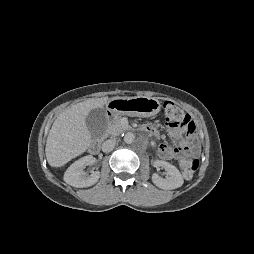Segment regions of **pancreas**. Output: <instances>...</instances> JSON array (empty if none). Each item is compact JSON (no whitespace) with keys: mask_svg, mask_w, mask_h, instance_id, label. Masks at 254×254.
<instances>
[{"mask_svg":"<svg viewBox=\"0 0 254 254\" xmlns=\"http://www.w3.org/2000/svg\"><path fill=\"white\" fill-rule=\"evenodd\" d=\"M128 126L123 125L121 118H116L109 126V134L116 136L124 132Z\"/></svg>","mask_w":254,"mask_h":254,"instance_id":"1","label":"pancreas"}]
</instances>
